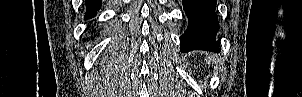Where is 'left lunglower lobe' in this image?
I'll return each instance as SVG.
<instances>
[{
  "instance_id": "1",
  "label": "left lung lower lobe",
  "mask_w": 302,
  "mask_h": 97,
  "mask_svg": "<svg viewBox=\"0 0 302 97\" xmlns=\"http://www.w3.org/2000/svg\"><path fill=\"white\" fill-rule=\"evenodd\" d=\"M189 29L180 37L182 52L191 50L219 51L215 34L219 28L215 14L216 0H183Z\"/></svg>"
}]
</instances>
